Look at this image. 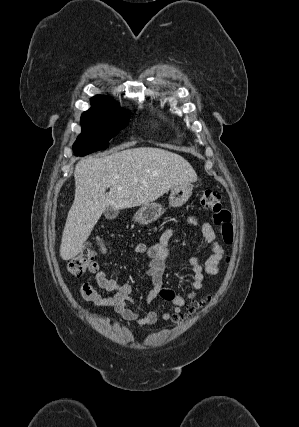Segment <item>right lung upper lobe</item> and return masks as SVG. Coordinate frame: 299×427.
I'll return each mask as SVG.
<instances>
[{"mask_svg": "<svg viewBox=\"0 0 299 427\" xmlns=\"http://www.w3.org/2000/svg\"><path fill=\"white\" fill-rule=\"evenodd\" d=\"M115 103L111 98L104 96H95L91 99V104H112Z\"/></svg>", "mask_w": 299, "mask_h": 427, "instance_id": "obj_1", "label": "right lung upper lobe"}]
</instances>
